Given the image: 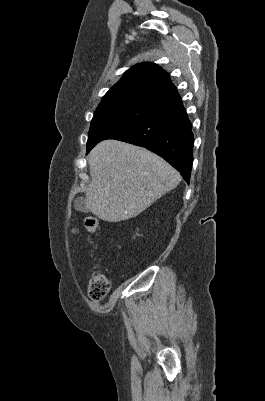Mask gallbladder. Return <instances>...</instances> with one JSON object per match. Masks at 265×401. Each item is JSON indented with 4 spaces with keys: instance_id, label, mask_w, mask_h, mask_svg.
Segmentation results:
<instances>
[{
    "instance_id": "gallbladder-1",
    "label": "gallbladder",
    "mask_w": 265,
    "mask_h": 401,
    "mask_svg": "<svg viewBox=\"0 0 265 401\" xmlns=\"http://www.w3.org/2000/svg\"><path fill=\"white\" fill-rule=\"evenodd\" d=\"M74 207L76 211H81V213H90L85 205V198H83V196H77V198H75Z\"/></svg>"
}]
</instances>
